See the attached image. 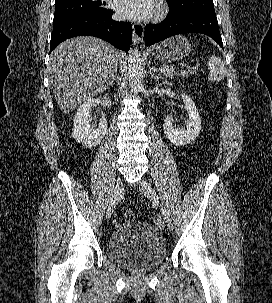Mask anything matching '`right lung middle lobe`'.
<instances>
[{"mask_svg":"<svg viewBox=\"0 0 272 303\" xmlns=\"http://www.w3.org/2000/svg\"><path fill=\"white\" fill-rule=\"evenodd\" d=\"M105 3L101 0H64L55 2L54 20H60L65 17L83 12H105Z\"/></svg>","mask_w":272,"mask_h":303,"instance_id":"1","label":"right lung middle lobe"}]
</instances>
